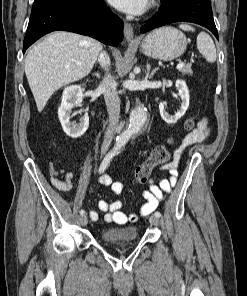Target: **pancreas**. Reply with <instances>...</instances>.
I'll list each match as a JSON object with an SVG mask.
<instances>
[{"label":"pancreas","instance_id":"1","mask_svg":"<svg viewBox=\"0 0 247 296\" xmlns=\"http://www.w3.org/2000/svg\"><path fill=\"white\" fill-rule=\"evenodd\" d=\"M179 72H181L183 75H185V74L192 75L193 74L190 64L184 65L182 68L179 69Z\"/></svg>","mask_w":247,"mask_h":296}]
</instances>
